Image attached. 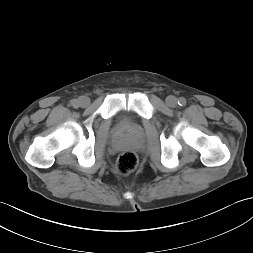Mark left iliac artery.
I'll return each mask as SVG.
<instances>
[{"instance_id":"left-iliac-artery-1","label":"left iliac artery","mask_w":253,"mask_h":253,"mask_svg":"<svg viewBox=\"0 0 253 253\" xmlns=\"http://www.w3.org/2000/svg\"><path fill=\"white\" fill-rule=\"evenodd\" d=\"M178 104L180 105V106H185L186 105V100H185V98H179L178 99Z\"/></svg>"}]
</instances>
